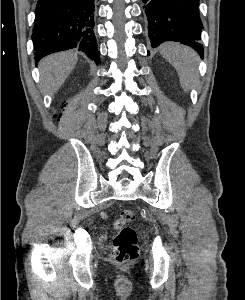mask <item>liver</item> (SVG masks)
<instances>
[{"label":"liver","mask_w":245,"mask_h":300,"mask_svg":"<svg viewBox=\"0 0 245 300\" xmlns=\"http://www.w3.org/2000/svg\"><path fill=\"white\" fill-rule=\"evenodd\" d=\"M77 54L61 52L47 56L39 63L40 83L44 92H57L77 63Z\"/></svg>","instance_id":"6515ba94"}]
</instances>
